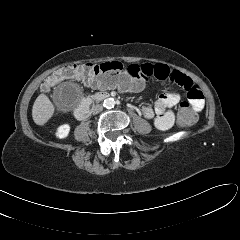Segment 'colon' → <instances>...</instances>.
<instances>
[{"label":"colon","mask_w":240,"mask_h":240,"mask_svg":"<svg viewBox=\"0 0 240 240\" xmlns=\"http://www.w3.org/2000/svg\"><path fill=\"white\" fill-rule=\"evenodd\" d=\"M65 79H77L89 85L115 87L130 90L139 82V77L132 72L130 66L115 61L100 64L67 65L51 74L43 84V90L48 91L57 83ZM197 115L189 102L180 104L178 121L187 126L194 123Z\"/></svg>","instance_id":"obj_1"}]
</instances>
